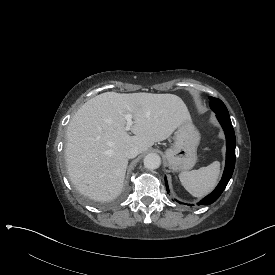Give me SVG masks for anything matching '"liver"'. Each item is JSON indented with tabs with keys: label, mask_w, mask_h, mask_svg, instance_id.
<instances>
[{
	"label": "liver",
	"mask_w": 275,
	"mask_h": 275,
	"mask_svg": "<svg viewBox=\"0 0 275 275\" xmlns=\"http://www.w3.org/2000/svg\"><path fill=\"white\" fill-rule=\"evenodd\" d=\"M133 115L130 136L124 114ZM189 117L183 100L173 94L105 92L84 103L66 132L68 174L76 189L95 201H110L123 188L128 158L125 146L144 152L167 139Z\"/></svg>",
	"instance_id": "liver-1"
}]
</instances>
